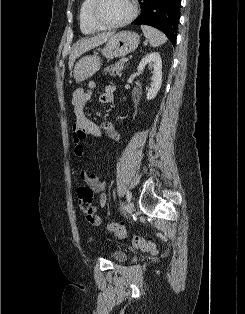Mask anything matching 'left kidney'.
Returning <instances> with one entry per match:
<instances>
[{
    "label": "left kidney",
    "instance_id": "1",
    "mask_svg": "<svg viewBox=\"0 0 245 314\" xmlns=\"http://www.w3.org/2000/svg\"><path fill=\"white\" fill-rule=\"evenodd\" d=\"M153 69L151 84L147 93V100H152L156 97L162 84V60L158 52L147 54L139 63L138 72L141 73L145 66Z\"/></svg>",
    "mask_w": 245,
    "mask_h": 314
}]
</instances>
